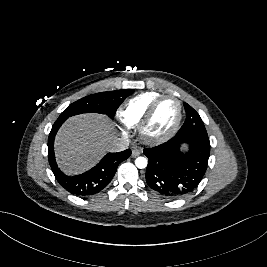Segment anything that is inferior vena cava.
<instances>
[{
	"mask_svg": "<svg viewBox=\"0 0 267 267\" xmlns=\"http://www.w3.org/2000/svg\"><path fill=\"white\" fill-rule=\"evenodd\" d=\"M129 146V141L126 138H117L112 143V150L119 152L127 149Z\"/></svg>",
	"mask_w": 267,
	"mask_h": 267,
	"instance_id": "inferior-vena-cava-1",
	"label": "inferior vena cava"
}]
</instances>
